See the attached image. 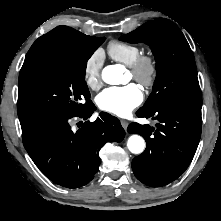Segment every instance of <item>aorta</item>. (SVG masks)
<instances>
[{"label":"aorta","mask_w":221,"mask_h":221,"mask_svg":"<svg viewBox=\"0 0 221 221\" xmlns=\"http://www.w3.org/2000/svg\"><path fill=\"white\" fill-rule=\"evenodd\" d=\"M123 69L121 65L106 66L102 71L103 81L111 85L119 84L122 78ZM127 147L131 153L141 154L145 149V141L139 135H131L128 139Z\"/></svg>","instance_id":"aorta-1"}]
</instances>
